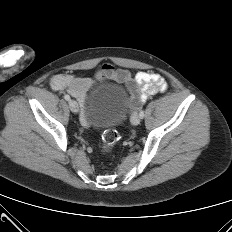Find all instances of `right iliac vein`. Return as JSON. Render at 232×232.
Instances as JSON below:
<instances>
[{
    "label": "right iliac vein",
    "instance_id": "right-iliac-vein-1",
    "mask_svg": "<svg viewBox=\"0 0 232 232\" xmlns=\"http://www.w3.org/2000/svg\"><path fill=\"white\" fill-rule=\"evenodd\" d=\"M69 107H70V110L73 113H78L79 107H78V104H77V102L75 100H70L69 101Z\"/></svg>",
    "mask_w": 232,
    "mask_h": 232
}]
</instances>
